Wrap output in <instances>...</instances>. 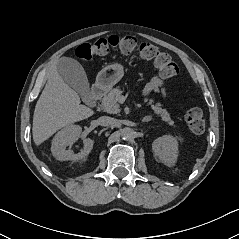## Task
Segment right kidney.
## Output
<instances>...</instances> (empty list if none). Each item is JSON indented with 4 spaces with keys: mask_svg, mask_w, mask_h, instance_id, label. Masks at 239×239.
<instances>
[{
    "mask_svg": "<svg viewBox=\"0 0 239 239\" xmlns=\"http://www.w3.org/2000/svg\"><path fill=\"white\" fill-rule=\"evenodd\" d=\"M82 128L79 125H69L59 131L53 138L51 151L53 156L60 161H78L91 152L94 142L90 138L83 140V149L75 154L71 150H67V146L72 145L80 137Z\"/></svg>",
    "mask_w": 239,
    "mask_h": 239,
    "instance_id": "obj_1",
    "label": "right kidney"
}]
</instances>
